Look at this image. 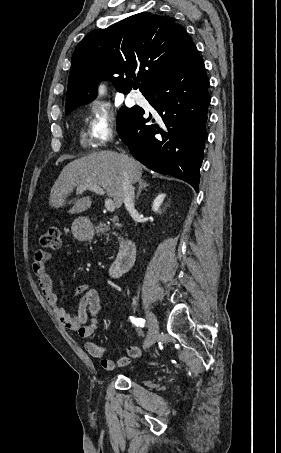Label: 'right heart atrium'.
I'll return each instance as SVG.
<instances>
[{"label": "right heart atrium", "instance_id": "1", "mask_svg": "<svg viewBox=\"0 0 281 453\" xmlns=\"http://www.w3.org/2000/svg\"><path fill=\"white\" fill-rule=\"evenodd\" d=\"M118 121L109 107L101 102L94 101L89 106V136L92 140L106 145L111 142L117 132ZM96 161L103 165L109 173H119L121 165L118 157L101 152L96 156Z\"/></svg>", "mask_w": 281, "mask_h": 453}]
</instances>
